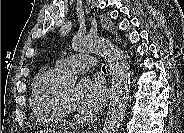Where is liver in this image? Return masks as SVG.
I'll list each match as a JSON object with an SVG mask.
<instances>
[{
	"label": "liver",
	"mask_w": 184,
	"mask_h": 133,
	"mask_svg": "<svg viewBox=\"0 0 184 133\" xmlns=\"http://www.w3.org/2000/svg\"><path fill=\"white\" fill-rule=\"evenodd\" d=\"M40 133H51V131L42 130Z\"/></svg>",
	"instance_id": "6515ba94"
}]
</instances>
